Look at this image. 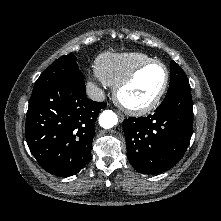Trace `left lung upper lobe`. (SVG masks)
Returning a JSON list of instances; mask_svg holds the SVG:
<instances>
[{
	"label": "left lung upper lobe",
	"instance_id": "5c2ea615",
	"mask_svg": "<svg viewBox=\"0 0 221 221\" xmlns=\"http://www.w3.org/2000/svg\"><path fill=\"white\" fill-rule=\"evenodd\" d=\"M170 74V86L166 96H169L170 94L176 92L179 89L190 87L185 72L175 61H171L170 63Z\"/></svg>",
	"mask_w": 221,
	"mask_h": 221
}]
</instances>
